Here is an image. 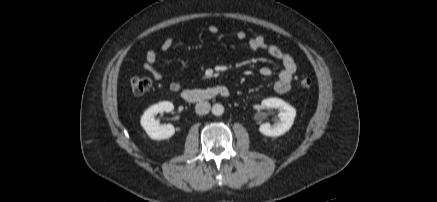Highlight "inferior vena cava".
Here are the masks:
<instances>
[{"label":"inferior vena cava","instance_id":"1","mask_svg":"<svg viewBox=\"0 0 437 202\" xmlns=\"http://www.w3.org/2000/svg\"><path fill=\"white\" fill-rule=\"evenodd\" d=\"M211 105L208 101H200L195 106V111L198 115H205L209 113Z\"/></svg>","mask_w":437,"mask_h":202}]
</instances>
